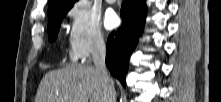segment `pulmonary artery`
Instances as JSON below:
<instances>
[{
  "mask_svg": "<svg viewBox=\"0 0 221 102\" xmlns=\"http://www.w3.org/2000/svg\"><path fill=\"white\" fill-rule=\"evenodd\" d=\"M116 0H106L108 3H114Z\"/></svg>",
  "mask_w": 221,
  "mask_h": 102,
  "instance_id": "e3ab8cb5",
  "label": "pulmonary artery"
}]
</instances>
